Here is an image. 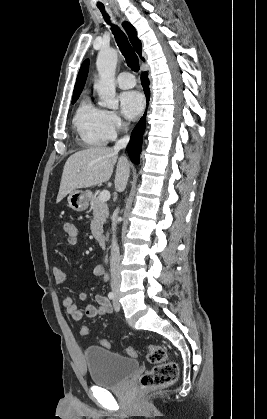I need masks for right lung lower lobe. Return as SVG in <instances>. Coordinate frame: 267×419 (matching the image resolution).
Instances as JSON below:
<instances>
[{
  "label": "right lung lower lobe",
  "instance_id": "right-lung-lower-lobe-1",
  "mask_svg": "<svg viewBox=\"0 0 267 419\" xmlns=\"http://www.w3.org/2000/svg\"><path fill=\"white\" fill-rule=\"evenodd\" d=\"M142 86L145 91V95L147 98V102L149 101L150 96V90H149V79H148V73L144 72L141 76ZM146 125V113L144 116L140 119V121L137 123V125L134 127L132 133H131V139L127 146V152L131 159V161L135 164H139V157L141 153V147H142V138L143 133L145 130Z\"/></svg>",
  "mask_w": 267,
  "mask_h": 419
}]
</instances>
